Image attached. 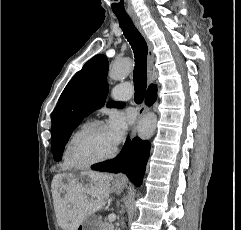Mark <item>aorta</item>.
<instances>
[{"mask_svg": "<svg viewBox=\"0 0 241 230\" xmlns=\"http://www.w3.org/2000/svg\"><path fill=\"white\" fill-rule=\"evenodd\" d=\"M133 67L129 58L115 61L109 69V78L115 81L125 79ZM157 124V117L154 113H148L140 120L138 125V136L142 140H148L154 134Z\"/></svg>", "mask_w": 241, "mask_h": 230, "instance_id": "obj_1", "label": "aorta"}]
</instances>
